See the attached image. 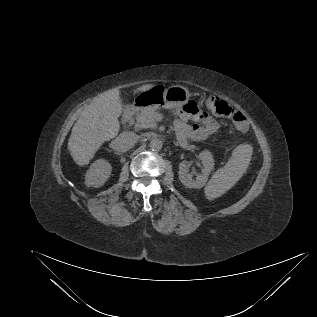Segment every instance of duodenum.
<instances>
[{"label":"duodenum","mask_w":317,"mask_h":317,"mask_svg":"<svg viewBox=\"0 0 317 317\" xmlns=\"http://www.w3.org/2000/svg\"><path fill=\"white\" fill-rule=\"evenodd\" d=\"M138 104H131L128 106L123 114V122L128 124L132 121L133 116L137 110Z\"/></svg>","instance_id":"obj_1"}]
</instances>
